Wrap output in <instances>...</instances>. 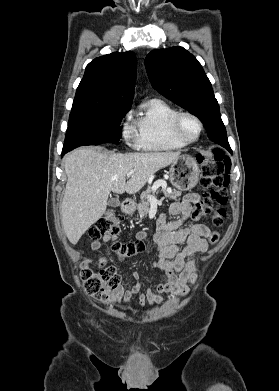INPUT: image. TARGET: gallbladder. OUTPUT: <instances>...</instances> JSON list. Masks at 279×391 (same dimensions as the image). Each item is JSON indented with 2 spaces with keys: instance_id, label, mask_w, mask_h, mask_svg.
Here are the masks:
<instances>
[{
  "instance_id": "gallbladder-1",
  "label": "gallbladder",
  "mask_w": 279,
  "mask_h": 391,
  "mask_svg": "<svg viewBox=\"0 0 279 391\" xmlns=\"http://www.w3.org/2000/svg\"><path fill=\"white\" fill-rule=\"evenodd\" d=\"M108 203L111 207H117L120 205V200L118 198H111Z\"/></svg>"
}]
</instances>
